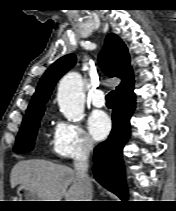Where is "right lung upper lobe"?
<instances>
[{"label": "right lung upper lobe", "instance_id": "right-lung-upper-lobe-1", "mask_svg": "<svg viewBox=\"0 0 176 211\" xmlns=\"http://www.w3.org/2000/svg\"><path fill=\"white\" fill-rule=\"evenodd\" d=\"M75 63L76 56L68 54L48 68L38 83L24 117L44 111V104L47 102L54 85ZM99 63L108 76L118 77L122 80L121 84L116 87L115 96L124 95L133 90L134 76L130 66L128 49L117 35L110 33L106 36L105 48L99 56Z\"/></svg>", "mask_w": 176, "mask_h": 211}]
</instances>
